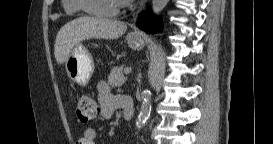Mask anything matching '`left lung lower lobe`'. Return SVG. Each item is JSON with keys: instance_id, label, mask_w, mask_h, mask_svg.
<instances>
[{"instance_id": "obj_1", "label": "left lung lower lobe", "mask_w": 273, "mask_h": 144, "mask_svg": "<svg viewBox=\"0 0 273 144\" xmlns=\"http://www.w3.org/2000/svg\"><path fill=\"white\" fill-rule=\"evenodd\" d=\"M161 20L160 18L156 17L151 10L142 11L139 14V17L137 19V26L146 31L149 34H154L157 33L161 30L162 25H161Z\"/></svg>"}]
</instances>
